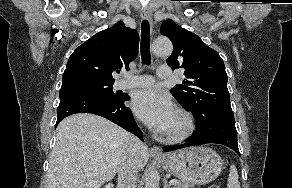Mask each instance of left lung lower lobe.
Returning a JSON list of instances; mask_svg holds the SVG:
<instances>
[{
	"label": "left lung lower lobe",
	"instance_id": "1",
	"mask_svg": "<svg viewBox=\"0 0 292 188\" xmlns=\"http://www.w3.org/2000/svg\"><path fill=\"white\" fill-rule=\"evenodd\" d=\"M206 143L222 144L240 154L237 145V133L233 114H226L214 118L204 127L197 128L193 134V138L187 143L177 146H166L163 148V151H174Z\"/></svg>",
	"mask_w": 292,
	"mask_h": 188
}]
</instances>
